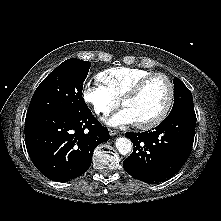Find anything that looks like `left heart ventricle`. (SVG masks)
I'll return each instance as SVG.
<instances>
[{"mask_svg": "<svg viewBox=\"0 0 221 221\" xmlns=\"http://www.w3.org/2000/svg\"><path fill=\"white\" fill-rule=\"evenodd\" d=\"M169 94L167 83L162 78L151 79L140 94L128 101L124 108L134 117L135 123L147 122L163 109Z\"/></svg>", "mask_w": 221, "mask_h": 221, "instance_id": "left-heart-ventricle-1", "label": "left heart ventricle"}]
</instances>
